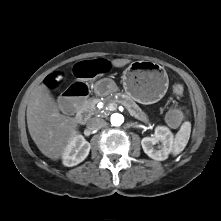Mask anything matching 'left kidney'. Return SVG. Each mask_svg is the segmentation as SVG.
Here are the masks:
<instances>
[{"label": "left kidney", "mask_w": 221, "mask_h": 221, "mask_svg": "<svg viewBox=\"0 0 221 221\" xmlns=\"http://www.w3.org/2000/svg\"><path fill=\"white\" fill-rule=\"evenodd\" d=\"M161 142L158 149L154 145ZM144 152L152 159L163 161L168 158V155L173 150V134L169 128L158 126L155 129V134L152 137H145L141 141Z\"/></svg>", "instance_id": "1"}]
</instances>
